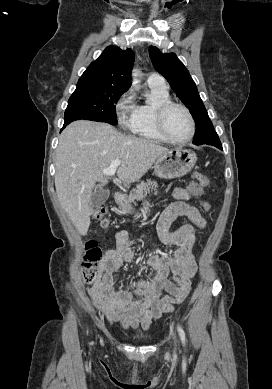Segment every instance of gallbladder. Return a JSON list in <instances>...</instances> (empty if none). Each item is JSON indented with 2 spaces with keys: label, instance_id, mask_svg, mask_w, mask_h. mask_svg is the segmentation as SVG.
<instances>
[{
  "label": "gallbladder",
  "instance_id": "bac80fb5",
  "mask_svg": "<svg viewBox=\"0 0 272 389\" xmlns=\"http://www.w3.org/2000/svg\"><path fill=\"white\" fill-rule=\"evenodd\" d=\"M109 190L107 189H104L102 187H97L94 191H93V194H92V197H91V206L94 208V209H97L99 208L101 205H103L108 197H109Z\"/></svg>",
  "mask_w": 272,
  "mask_h": 389
}]
</instances>
